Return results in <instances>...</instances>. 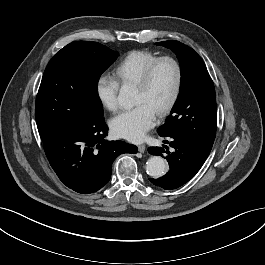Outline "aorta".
<instances>
[{
    "label": "aorta",
    "mask_w": 265,
    "mask_h": 265,
    "mask_svg": "<svg viewBox=\"0 0 265 265\" xmlns=\"http://www.w3.org/2000/svg\"><path fill=\"white\" fill-rule=\"evenodd\" d=\"M134 91L129 86H122L119 95L118 102L124 107H131L133 105ZM167 170L164 159L160 156H152L146 162V172L153 178H159L164 175Z\"/></svg>",
    "instance_id": "obj_1"
}]
</instances>
